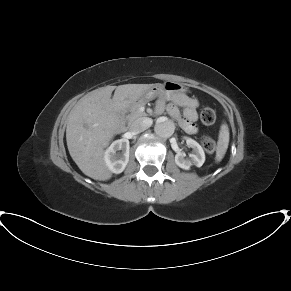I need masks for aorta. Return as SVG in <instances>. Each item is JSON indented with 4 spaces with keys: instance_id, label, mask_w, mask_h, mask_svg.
I'll use <instances>...</instances> for the list:
<instances>
[{
    "instance_id": "obj_1",
    "label": "aorta",
    "mask_w": 291,
    "mask_h": 291,
    "mask_svg": "<svg viewBox=\"0 0 291 291\" xmlns=\"http://www.w3.org/2000/svg\"><path fill=\"white\" fill-rule=\"evenodd\" d=\"M174 130H175L174 122L167 118H160L154 126V131L156 135L163 138H168L172 136Z\"/></svg>"
}]
</instances>
